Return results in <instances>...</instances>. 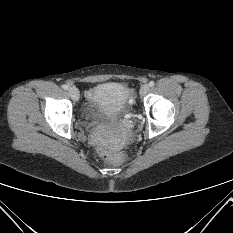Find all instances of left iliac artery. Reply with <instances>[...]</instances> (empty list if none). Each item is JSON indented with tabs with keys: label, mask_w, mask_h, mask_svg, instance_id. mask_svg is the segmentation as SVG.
I'll return each mask as SVG.
<instances>
[{
	"label": "left iliac artery",
	"mask_w": 233,
	"mask_h": 233,
	"mask_svg": "<svg viewBox=\"0 0 233 233\" xmlns=\"http://www.w3.org/2000/svg\"><path fill=\"white\" fill-rule=\"evenodd\" d=\"M154 85H155V83H154L153 81H150V82H149V86H150V87H153Z\"/></svg>",
	"instance_id": "obj_1"
}]
</instances>
